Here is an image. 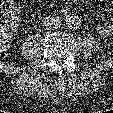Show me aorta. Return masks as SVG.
<instances>
[{
    "instance_id": "762f6f07",
    "label": "aorta",
    "mask_w": 113,
    "mask_h": 113,
    "mask_svg": "<svg viewBox=\"0 0 113 113\" xmlns=\"http://www.w3.org/2000/svg\"><path fill=\"white\" fill-rule=\"evenodd\" d=\"M67 26L71 30H76L81 26V20L77 16H70L67 21Z\"/></svg>"
}]
</instances>
